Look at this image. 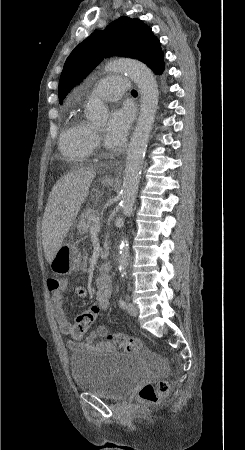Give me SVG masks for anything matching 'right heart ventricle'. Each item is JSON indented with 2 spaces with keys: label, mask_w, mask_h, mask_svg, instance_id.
<instances>
[{
  "label": "right heart ventricle",
  "mask_w": 245,
  "mask_h": 450,
  "mask_svg": "<svg viewBox=\"0 0 245 450\" xmlns=\"http://www.w3.org/2000/svg\"><path fill=\"white\" fill-rule=\"evenodd\" d=\"M63 129L60 136V149L63 154L77 162H84L93 150V128L77 113Z\"/></svg>",
  "instance_id": "1"
}]
</instances>
